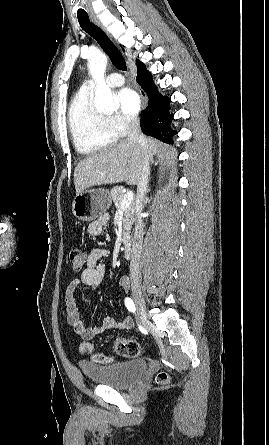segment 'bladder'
<instances>
[{"label":"bladder","mask_w":269,"mask_h":445,"mask_svg":"<svg viewBox=\"0 0 269 445\" xmlns=\"http://www.w3.org/2000/svg\"><path fill=\"white\" fill-rule=\"evenodd\" d=\"M80 368L91 382L115 389H124L141 380L147 370V362L143 359H131L112 365L82 362Z\"/></svg>","instance_id":"1"}]
</instances>
